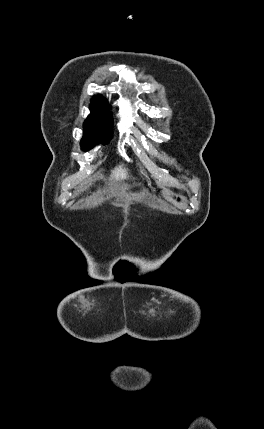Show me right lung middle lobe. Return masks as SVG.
<instances>
[{
	"label": "right lung middle lobe",
	"instance_id": "obj_1",
	"mask_svg": "<svg viewBox=\"0 0 264 429\" xmlns=\"http://www.w3.org/2000/svg\"><path fill=\"white\" fill-rule=\"evenodd\" d=\"M90 115L84 123L82 150L92 149L97 143H107L111 138V113L107 107H91Z\"/></svg>",
	"mask_w": 264,
	"mask_h": 429
}]
</instances>
